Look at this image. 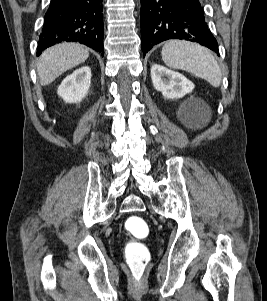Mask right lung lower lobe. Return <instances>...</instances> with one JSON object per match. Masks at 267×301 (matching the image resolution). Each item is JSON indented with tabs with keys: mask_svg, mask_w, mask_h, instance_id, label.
I'll return each mask as SVG.
<instances>
[{
	"mask_svg": "<svg viewBox=\"0 0 267 301\" xmlns=\"http://www.w3.org/2000/svg\"><path fill=\"white\" fill-rule=\"evenodd\" d=\"M103 0H51L38 41L37 56L60 42H79L103 56Z\"/></svg>",
	"mask_w": 267,
	"mask_h": 301,
	"instance_id": "98d812e1",
	"label": "right lung lower lobe"
}]
</instances>
